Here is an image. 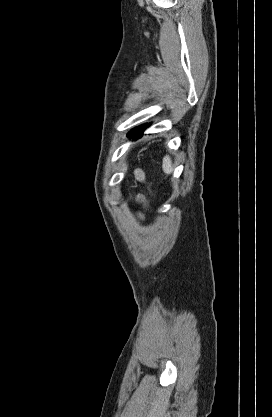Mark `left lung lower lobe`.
Here are the masks:
<instances>
[{"label":"left lung lower lobe","instance_id":"0a47b994","mask_svg":"<svg viewBox=\"0 0 272 417\" xmlns=\"http://www.w3.org/2000/svg\"><path fill=\"white\" fill-rule=\"evenodd\" d=\"M149 125L145 124L142 125L140 128H138L137 130L133 131V132H129L128 136L131 137H138L141 136V134L144 132V130L148 127Z\"/></svg>","mask_w":272,"mask_h":417}]
</instances>
